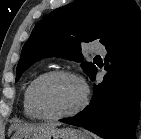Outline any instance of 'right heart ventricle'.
Here are the masks:
<instances>
[{"instance_id": "e07e8e85", "label": "right heart ventricle", "mask_w": 141, "mask_h": 139, "mask_svg": "<svg viewBox=\"0 0 141 139\" xmlns=\"http://www.w3.org/2000/svg\"><path fill=\"white\" fill-rule=\"evenodd\" d=\"M41 74H38L34 76L26 85L24 92H23V98H22V107H23V113L24 115L29 119H40V117L35 113L33 110L31 104H30V89L34 81L40 76Z\"/></svg>"}]
</instances>
